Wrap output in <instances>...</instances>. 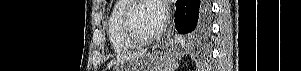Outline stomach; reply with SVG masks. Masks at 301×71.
<instances>
[{"instance_id":"1","label":"stomach","mask_w":301,"mask_h":71,"mask_svg":"<svg viewBox=\"0 0 301 71\" xmlns=\"http://www.w3.org/2000/svg\"><path fill=\"white\" fill-rule=\"evenodd\" d=\"M178 60L171 51H154L120 62L111 71H176Z\"/></svg>"}]
</instances>
